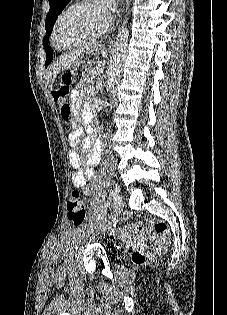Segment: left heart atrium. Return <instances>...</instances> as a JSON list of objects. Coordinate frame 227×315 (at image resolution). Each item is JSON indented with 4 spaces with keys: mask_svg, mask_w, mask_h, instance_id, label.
<instances>
[{
    "mask_svg": "<svg viewBox=\"0 0 227 315\" xmlns=\"http://www.w3.org/2000/svg\"><path fill=\"white\" fill-rule=\"evenodd\" d=\"M96 2L104 14L106 23H109L112 13L115 10V0H96Z\"/></svg>",
    "mask_w": 227,
    "mask_h": 315,
    "instance_id": "obj_1",
    "label": "left heart atrium"
}]
</instances>
